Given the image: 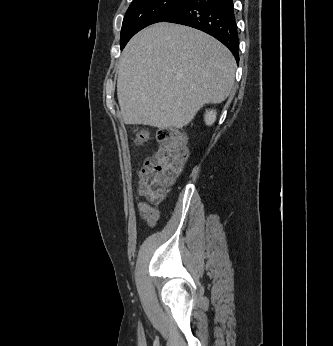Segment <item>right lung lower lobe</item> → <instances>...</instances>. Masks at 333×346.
<instances>
[{"label": "right lung lower lobe", "mask_w": 333, "mask_h": 346, "mask_svg": "<svg viewBox=\"0 0 333 346\" xmlns=\"http://www.w3.org/2000/svg\"><path fill=\"white\" fill-rule=\"evenodd\" d=\"M164 22L199 29L222 42L239 61V38L233 0H184Z\"/></svg>", "instance_id": "98d812e1"}]
</instances>
